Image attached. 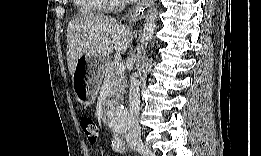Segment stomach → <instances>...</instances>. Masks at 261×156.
Wrapping results in <instances>:
<instances>
[{
  "mask_svg": "<svg viewBox=\"0 0 261 156\" xmlns=\"http://www.w3.org/2000/svg\"><path fill=\"white\" fill-rule=\"evenodd\" d=\"M80 58L76 64L75 73L72 76L73 87L77 100L81 104L88 106L92 105L97 97L101 84L102 69L109 58L103 56H85L84 65H82V59ZM80 63L83 68L82 73L80 71Z\"/></svg>",
  "mask_w": 261,
  "mask_h": 156,
  "instance_id": "obj_1",
  "label": "stomach"
}]
</instances>
